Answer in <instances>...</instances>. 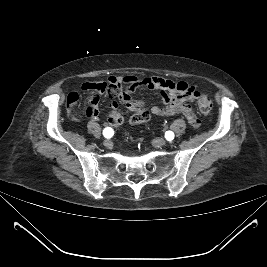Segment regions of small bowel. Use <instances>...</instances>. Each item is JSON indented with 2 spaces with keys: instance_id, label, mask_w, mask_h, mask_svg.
I'll return each mask as SVG.
<instances>
[{
  "instance_id": "1",
  "label": "small bowel",
  "mask_w": 267,
  "mask_h": 267,
  "mask_svg": "<svg viewBox=\"0 0 267 267\" xmlns=\"http://www.w3.org/2000/svg\"><path fill=\"white\" fill-rule=\"evenodd\" d=\"M139 87H147L160 91L163 106L151 107L150 112L154 115L166 117L174 114H182L192 127L197 128L200 125L194 108L189 104L200 96L197 88L184 81H173L159 76L143 78L112 76L107 82L83 84V90L89 93L87 97L86 115L89 118H96L98 116V102L100 95L103 93L109 96V106L113 110L119 108V103L115 98H118L129 109H133L136 106H144L143 102L135 101L131 97V93ZM78 101L79 95L76 92L70 93L67 97V110L72 115Z\"/></svg>"
}]
</instances>
